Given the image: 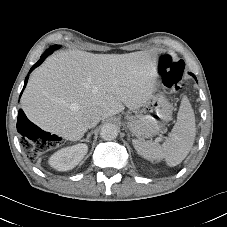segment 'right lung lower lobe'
<instances>
[{
    "label": "right lung lower lobe",
    "mask_w": 227,
    "mask_h": 227,
    "mask_svg": "<svg viewBox=\"0 0 227 227\" xmlns=\"http://www.w3.org/2000/svg\"><path fill=\"white\" fill-rule=\"evenodd\" d=\"M54 50H55V49H54L53 46H52L51 48H49L48 50H46V52L43 53V54L41 55V57H40V59L38 60V62L32 66V68L30 69L29 73H31L32 70H34L36 67H38V66L44 61V59H45L48 55H50ZM28 77H29V76H27V77L25 78V83H24L23 89L25 88V86H26V84H27ZM29 125L35 126L33 123H31V122L27 119V117L25 116L24 112L20 109V110H19V115H18V122H17V129H18V131H19L20 133H24V129H25L26 127H28Z\"/></svg>",
    "instance_id": "obj_1"
}]
</instances>
